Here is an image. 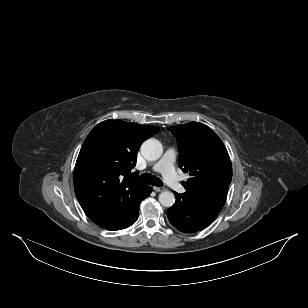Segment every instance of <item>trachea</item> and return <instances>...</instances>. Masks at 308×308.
<instances>
[{
	"mask_svg": "<svg viewBox=\"0 0 308 308\" xmlns=\"http://www.w3.org/2000/svg\"><path fill=\"white\" fill-rule=\"evenodd\" d=\"M138 180L142 183L154 185L157 187H161L163 185L161 179L149 173L142 174L141 176L138 177Z\"/></svg>",
	"mask_w": 308,
	"mask_h": 308,
	"instance_id": "3493384b",
	"label": "trachea"
}]
</instances>
